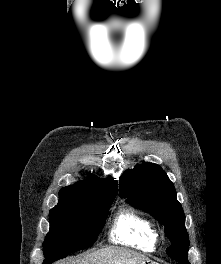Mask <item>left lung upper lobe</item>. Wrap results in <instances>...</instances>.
<instances>
[{
	"label": "left lung upper lobe",
	"mask_w": 221,
	"mask_h": 264,
	"mask_svg": "<svg viewBox=\"0 0 221 264\" xmlns=\"http://www.w3.org/2000/svg\"><path fill=\"white\" fill-rule=\"evenodd\" d=\"M119 194L133 207L150 213L165 227L171 246L166 253L176 261H188L189 237L185 215L176 190L159 165L143 163L127 170L120 178Z\"/></svg>",
	"instance_id": "left-lung-upper-lobe-1"
}]
</instances>
